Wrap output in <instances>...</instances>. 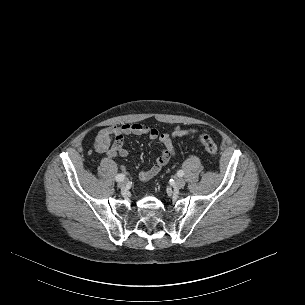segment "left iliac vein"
<instances>
[{"instance_id": "left-iliac-vein-1", "label": "left iliac vein", "mask_w": 305, "mask_h": 305, "mask_svg": "<svg viewBox=\"0 0 305 305\" xmlns=\"http://www.w3.org/2000/svg\"><path fill=\"white\" fill-rule=\"evenodd\" d=\"M185 180L183 178H178L176 179L175 183H174V188L176 189H181L185 186Z\"/></svg>"}]
</instances>
